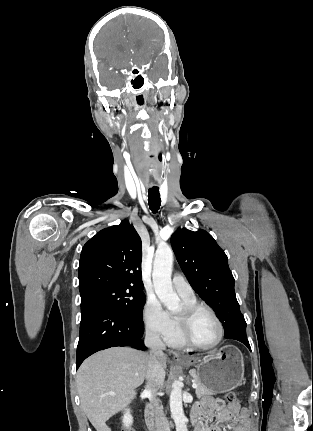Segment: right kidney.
<instances>
[{
  "mask_svg": "<svg viewBox=\"0 0 313 431\" xmlns=\"http://www.w3.org/2000/svg\"><path fill=\"white\" fill-rule=\"evenodd\" d=\"M122 421L124 426L129 429V427L131 426L132 422H133V418L130 414V409H126L124 412V415L122 417Z\"/></svg>",
  "mask_w": 313,
  "mask_h": 431,
  "instance_id": "obj_1",
  "label": "right kidney"
}]
</instances>
